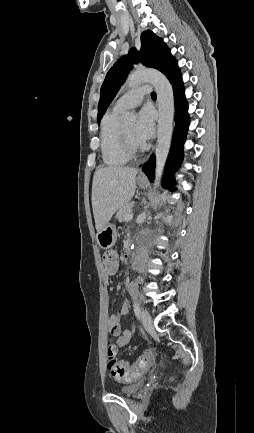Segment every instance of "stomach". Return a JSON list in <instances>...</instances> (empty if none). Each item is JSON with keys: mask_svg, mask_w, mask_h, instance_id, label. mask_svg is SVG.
<instances>
[{"mask_svg": "<svg viewBox=\"0 0 254 433\" xmlns=\"http://www.w3.org/2000/svg\"><path fill=\"white\" fill-rule=\"evenodd\" d=\"M138 185L141 188H145L147 182L142 179H138ZM97 243L102 249L111 248L117 239V231L115 225L107 223L96 235Z\"/></svg>", "mask_w": 254, "mask_h": 433, "instance_id": "1", "label": "stomach"}]
</instances>
